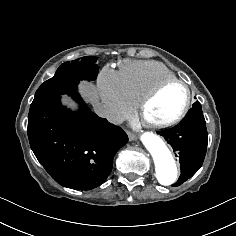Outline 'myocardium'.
Listing matches in <instances>:
<instances>
[{"label": "myocardium", "instance_id": "obj_1", "mask_svg": "<svg viewBox=\"0 0 236 236\" xmlns=\"http://www.w3.org/2000/svg\"><path fill=\"white\" fill-rule=\"evenodd\" d=\"M172 84H179V85L183 86L186 91V101H185L184 107L182 108L180 113L175 118H173L167 122H164V123H153V122L143 119L142 115H143L145 109L147 108V106L166 87H168L169 85H172ZM191 106H192V90H191L190 86L186 82H184L183 80H181L179 78H170V79H165V80L160 81L151 90H149L138 102L137 108H138V113L141 116V120H142L143 125L153 131L160 132V131H165V130L171 129V128L175 127L176 125H178L179 123H181L186 118L188 113L190 112Z\"/></svg>", "mask_w": 236, "mask_h": 236}]
</instances>
